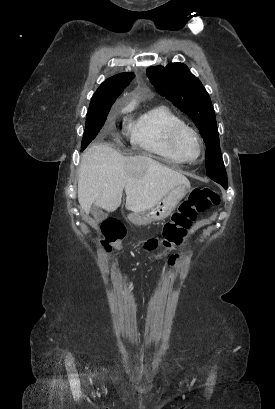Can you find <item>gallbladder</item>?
Returning <instances> with one entry per match:
<instances>
[{
	"label": "gallbladder",
	"mask_w": 275,
	"mask_h": 409,
	"mask_svg": "<svg viewBox=\"0 0 275 409\" xmlns=\"http://www.w3.org/2000/svg\"><path fill=\"white\" fill-rule=\"evenodd\" d=\"M91 215H93L96 223H102L107 219V213H103L99 207H91Z\"/></svg>",
	"instance_id": "gallbladder-1"
}]
</instances>
